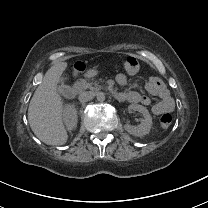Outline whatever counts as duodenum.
<instances>
[{"mask_svg": "<svg viewBox=\"0 0 208 208\" xmlns=\"http://www.w3.org/2000/svg\"><path fill=\"white\" fill-rule=\"evenodd\" d=\"M83 87H84L83 81L76 80V82L74 83V85L71 88V91H70L71 95L72 96L78 95L83 90ZM117 97L120 99L124 98L123 94H117Z\"/></svg>", "mask_w": 208, "mask_h": 208, "instance_id": "duodenum-1", "label": "duodenum"}]
</instances>
